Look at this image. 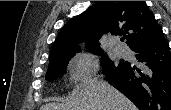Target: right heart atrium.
Instances as JSON below:
<instances>
[{"label": "right heart atrium", "instance_id": "right-heart-atrium-1", "mask_svg": "<svg viewBox=\"0 0 171 110\" xmlns=\"http://www.w3.org/2000/svg\"><path fill=\"white\" fill-rule=\"evenodd\" d=\"M100 75L99 62L91 54H76L71 62V79L77 85H87Z\"/></svg>", "mask_w": 171, "mask_h": 110}]
</instances>
